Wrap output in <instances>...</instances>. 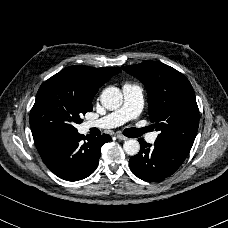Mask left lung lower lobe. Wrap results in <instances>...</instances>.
Wrapping results in <instances>:
<instances>
[{
  "mask_svg": "<svg viewBox=\"0 0 228 228\" xmlns=\"http://www.w3.org/2000/svg\"><path fill=\"white\" fill-rule=\"evenodd\" d=\"M140 152L129 161L132 172L139 178L156 182L172 175L184 162L190 149L184 146L155 141L148 144L138 139Z\"/></svg>",
  "mask_w": 228,
  "mask_h": 228,
  "instance_id": "obj_1",
  "label": "left lung lower lobe"
}]
</instances>
